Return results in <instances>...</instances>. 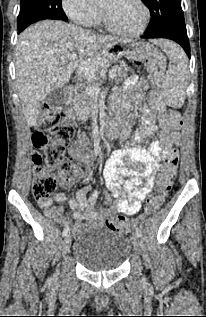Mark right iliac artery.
<instances>
[{
    "label": "right iliac artery",
    "instance_id": "right-iliac-artery-1",
    "mask_svg": "<svg viewBox=\"0 0 206 317\" xmlns=\"http://www.w3.org/2000/svg\"><path fill=\"white\" fill-rule=\"evenodd\" d=\"M69 231H70L69 227L64 228V230H63V236H67L68 233H69Z\"/></svg>",
    "mask_w": 206,
    "mask_h": 317
}]
</instances>
